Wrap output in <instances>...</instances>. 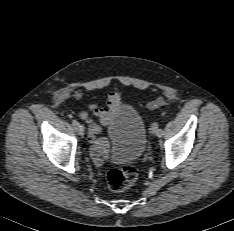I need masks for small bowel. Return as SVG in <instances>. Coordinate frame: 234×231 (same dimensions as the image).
<instances>
[{
    "mask_svg": "<svg viewBox=\"0 0 234 231\" xmlns=\"http://www.w3.org/2000/svg\"><path fill=\"white\" fill-rule=\"evenodd\" d=\"M75 100L83 98L82 93L71 95ZM122 94L119 91H113L109 94L106 107H98L92 104L88 110L79 113V117L86 121L87 132L91 143L90 154L95 166L100 167L109 158L108 142L105 138L100 137L101 125L109 126L112 123L113 115L116 112Z\"/></svg>",
    "mask_w": 234,
    "mask_h": 231,
    "instance_id": "1",
    "label": "small bowel"
}]
</instances>
